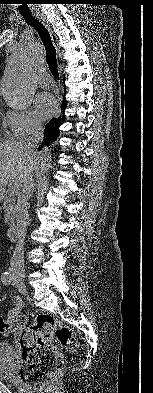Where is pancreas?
Listing matches in <instances>:
<instances>
[{
  "instance_id": "obj_1",
  "label": "pancreas",
  "mask_w": 153,
  "mask_h": 393,
  "mask_svg": "<svg viewBox=\"0 0 153 393\" xmlns=\"http://www.w3.org/2000/svg\"><path fill=\"white\" fill-rule=\"evenodd\" d=\"M16 196L17 192H14L11 188H9L3 197V208L5 210L4 219L7 225H10L14 221Z\"/></svg>"
}]
</instances>
